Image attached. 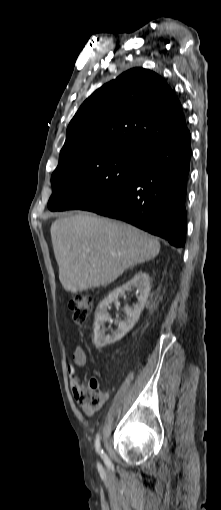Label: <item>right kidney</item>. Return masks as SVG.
I'll return each instance as SVG.
<instances>
[{
  "label": "right kidney",
  "instance_id": "1",
  "mask_svg": "<svg viewBox=\"0 0 221 510\" xmlns=\"http://www.w3.org/2000/svg\"><path fill=\"white\" fill-rule=\"evenodd\" d=\"M132 288H136L138 293V301L136 305L133 308L126 306L124 308L126 313L124 321H117V329L111 335H105L103 325L109 320V313L107 310L109 305L116 301L121 293ZM149 292V276L146 273L139 272L130 281L121 287H117L110 292L105 299H103L95 312L93 343L97 348H102L119 341L133 328L144 309Z\"/></svg>",
  "mask_w": 221,
  "mask_h": 510
}]
</instances>
